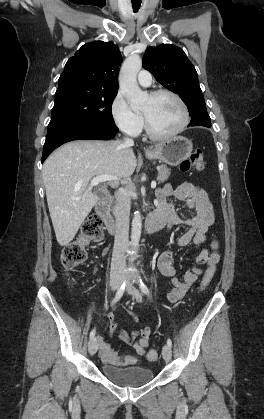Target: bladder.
Masks as SVG:
<instances>
[{
    "label": "bladder",
    "mask_w": 264,
    "mask_h": 419,
    "mask_svg": "<svg viewBox=\"0 0 264 419\" xmlns=\"http://www.w3.org/2000/svg\"><path fill=\"white\" fill-rule=\"evenodd\" d=\"M103 375L122 387H138L149 383L154 376L150 368L144 366L118 367L109 364L101 366Z\"/></svg>",
    "instance_id": "31cf9c89"
}]
</instances>
